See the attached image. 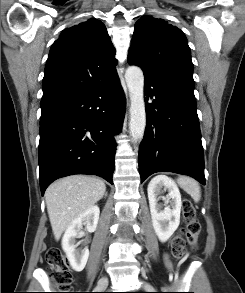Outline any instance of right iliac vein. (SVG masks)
I'll list each match as a JSON object with an SVG mask.
<instances>
[{
    "instance_id": "right-iliac-vein-1",
    "label": "right iliac vein",
    "mask_w": 245,
    "mask_h": 293,
    "mask_svg": "<svg viewBox=\"0 0 245 293\" xmlns=\"http://www.w3.org/2000/svg\"><path fill=\"white\" fill-rule=\"evenodd\" d=\"M108 285V279L106 277H103L99 280L98 285H97V289L98 290H103L104 288H106Z\"/></svg>"
}]
</instances>
